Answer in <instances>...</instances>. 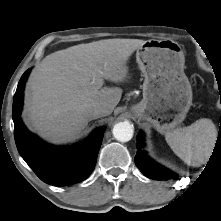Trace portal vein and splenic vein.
I'll return each instance as SVG.
<instances>
[{"label": "portal vein and splenic vein", "instance_id": "obj_1", "mask_svg": "<svg viewBox=\"0 0 221 221\" xmlns=\"http://www.w3.org/2000/svg\"><path fill=\"white\" fill-rule=\"evenodd\" d=\"M100 85H102V80L99 81Z\"/></svg>", "mask_w": 221, "mask_h": 221}]
</instances>
